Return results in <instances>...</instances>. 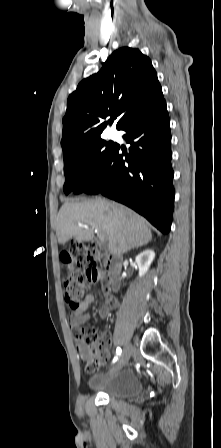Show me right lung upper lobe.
<instances>
[{
    "mask_svg": "<svg viewBox=\"0 0 221 448\" xmlns=\"http://www.w3.org/2000/svg\"><path fill=\"white\" fill-rule=\"evenodd\" d=\"M162 94L150 59L138 49L123 47L113 52L101 70L82 80L67 101L61 146L64 159L101 138L112 120L117 129L133 113Z\"/></svg>",
    "mask_w": 221,
    "mask_h": 448,
    "instance_id": "cb5924a9",
    "label": "right lung upper lobe"
}]
</instances>
